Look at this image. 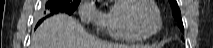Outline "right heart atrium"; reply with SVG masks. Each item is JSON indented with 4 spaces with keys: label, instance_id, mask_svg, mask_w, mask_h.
<instances>
[{
    "label": "right heart atrium",
    "instance_id": "d8ad5b80",
    "mask_svg": "<svg viewBox=\"0 0 213 48\" xmlns=\"http://www.w3.org/2000/svg\"><path fill=\"white\" fill-rule=\"evenodd\" d=\"M79 16L84 23L100 27L102 12L97 6L96 1L81 2Z\"/></svg>",
    "mask_w": 213,
    "mask_h": 48
}]
</instances>
